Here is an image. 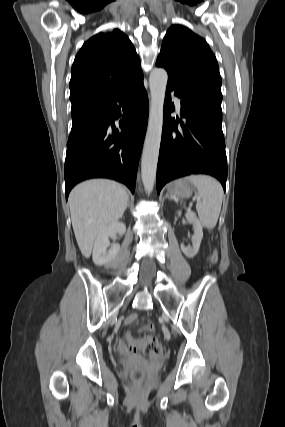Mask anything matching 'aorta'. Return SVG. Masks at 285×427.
Wrapping results in <instances>:
<instances>
[{"instance_id":"762f6f07","label":"aorta","mask_w":285,"mask_h":427,"mask_svg":"<svg viewBox=\"0 0 285 427\" xmlns=\"http://www.w3.org/2000/svg\"><path fill=\"white\" fill-rule=\"evenodd\" d=\"M167 81L168 74L165 69L155 68L151 71L149 77L151 103L141 161V178L148 193L153 190L156 179Z\"/></svg>"}]
</instances>
